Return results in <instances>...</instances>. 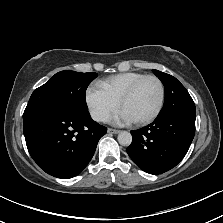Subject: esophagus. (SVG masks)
<instances>
[{
  "mask_svg": "<svg viewBox=\"0 0 223 223\" xmlns=\"http://www.w3.org/2000/svg\"><path fill=\"white\" fill-rule=\"evenodd\" d=\"M107 132L110 134H118L120 132V130L108 128Z\"/></svg>",
  "mask_w": 223,
  "mask_h": 223,
  "instance_id": "1",
  "label": "esophagus"
}]
</instances>
